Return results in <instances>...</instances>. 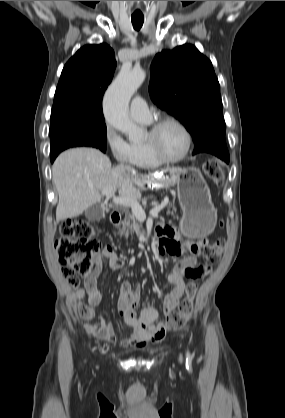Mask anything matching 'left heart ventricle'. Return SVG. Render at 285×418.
Wrapping results in <instances>:
<instances>
[{
    "label": "left heart ventricle",
    "instance_id": "b2bd125f",
    "mask_svg": "<svg viewBox=\"0 0 285 418\" xmlns=\"http://www.w3.org/2000/svg\"><path fill=\"white\" fill-rule=\"evenodd\" d=\"M148 138L147 136L146 141ZM155 144L166 157L175 158L183 153L186 139L179 127L173 124H167L156 135Z\"/></svg>",
    "mask_w": 285,
    "mask_h": 418
}]
</instances>
